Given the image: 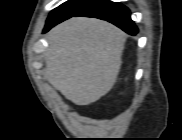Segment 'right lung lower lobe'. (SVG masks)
<instances>
[{"label":"right lung lower lobe","instance_id":"1","mask_svg":"<svg viewBox=\"0 0 182 140\" xmlns=\"http://www.w3.org/2000/svg\"><path fill=\"white\" fill-rule=\"evenodd\" d=\"M73 16L94 17L107 20L131 35H136L138 32L137 27L130 18L129 9L121 3L111 2L109 0H96L71 17ZM55 25L45 27L44 32Z\"/></svg>","mask_w":182,"mask_h":140}]
</instances>
